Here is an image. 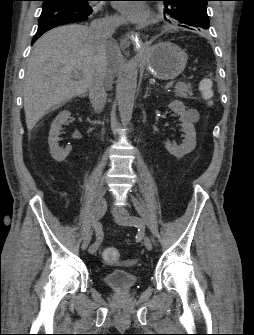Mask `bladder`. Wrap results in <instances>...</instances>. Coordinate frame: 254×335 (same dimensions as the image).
I'll return each instance as SVG.
<instances>
[{
    "instance_id": "bladder-1",
    "label": "bladder",
    "mask_w": 254,
    "mask_h": 335,
    "mask_svg": "<svg viewBox=\"0 0 254 335\" xmlns=\"http://www.w3.org/2000/svg\"><path fill=\"white\" fill-rule=\"evenodd\" d=\"M104 282L110 288L124 292L132 289L136 285L137 278L132 271L113 269L105 274Z\"/></svg>"
}]
</instances>
